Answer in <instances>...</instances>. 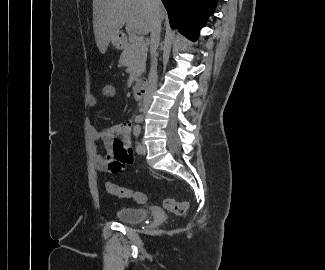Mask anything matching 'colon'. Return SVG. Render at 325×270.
<instances>
[{"label": "colon", "instance_id": "colon-1", "mask_svg": "<svg viewBox=\"0 0 325 270\" xmlns=\"http://www.w3.org/2000/svg\"><path fill=\"white\" fill-rule=\"evenodd\" d=\"M102 95L107 100H114L117 97V89L115 85L112 83H107L102 88ZM106 189L107 191L117 197L120 198H127V199H133L137 203H145L146 202V195L144 193L133 191L121 186H118L113 183H106ZM163 206L166 210L177 214V215H183L189 208V203L187 201H177L173 198H166L163 201Z\"/></svg>", "mask_w": 325, "mask_h": 270}]
</instances>
